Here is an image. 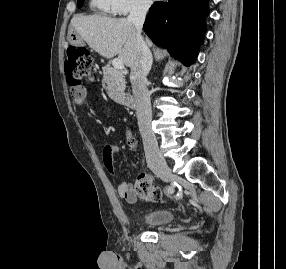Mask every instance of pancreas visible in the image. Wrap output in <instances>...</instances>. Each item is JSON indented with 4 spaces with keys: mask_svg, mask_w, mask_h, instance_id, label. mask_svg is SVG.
Wrapping results in <instances>:
<instances>
[{
    "mask_svg": "<svg viewBox=\"0 0 286 269\" xmlns=\"http://www.w3.org/2000/svg\"><path fill=\"white\" fill-rule=\"evenodd\" d=\"M102 85L108 96L116 102L122 101L125 96L126 82L123 73L114 67L107 65L103 67Z\"/></svg>",
    "mask_w": 286,
    "mask_h": 269,
    "instance_id": "pancreas-1",
    "label": "pancreas"
}]
</instances>
